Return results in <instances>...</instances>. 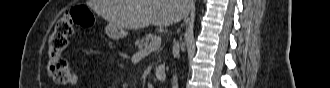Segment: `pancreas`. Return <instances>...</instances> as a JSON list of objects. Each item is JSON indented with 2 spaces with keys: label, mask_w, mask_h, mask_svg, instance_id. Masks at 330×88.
Here are the masks:
<instances>
[{
  "label": "pancreas",
  "mask_w": 330,
  "mask_h": 88,
  "mask_svg": "<svg viewBox=\"0 0 330 88\" xmlns=\"http://www.w3.org/2000/svg\"><path fill=\"white\" fill-rule=\"evenodd\" d=\"M158 36L154 35V34H147L145 37L138 39L135 43V45L138 48H143L146 47L148 45H150L151 43H154L157 40ZM157 50V49H156Z\"/></svg>",
  "instance_id": "cf45deb5"
}]
</instances>
